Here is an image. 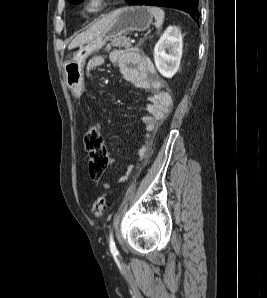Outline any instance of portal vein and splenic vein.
<instances>
[{"instance_id": "portal-vein-and-splenic-vein-1", "label": "portal vein and splenic vein", "mask_w": 267, "mask_h": 298, "mask_svg": "<svg viewBox=\"0 0 267 298\" xmlns=\"http://www.w3.org/2000/svg\"><path fill=\"white\" fill-rule=\"evenodd\" d=\"M135 42V40H131V43H134Z\"/></svg>"}]
</instances>
